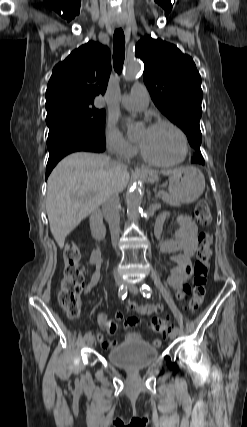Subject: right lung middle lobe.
<instances>
[{"label": "right lung middle lobe", "mask_w": 247, "mask_h": 427, "mask_svg": "<svg viewBox=\"0 0 247 427\" xmlns=\"http://www.w3.org/2000/svg\"><path fill=\"white\" fill-rule=\"evenodd\" d=\"M105 111L94 106H69L47 114L49 128L65 127L105 144Z\"/></svg>", "instance_id": "dd1d6c3e"}]
</instances>
